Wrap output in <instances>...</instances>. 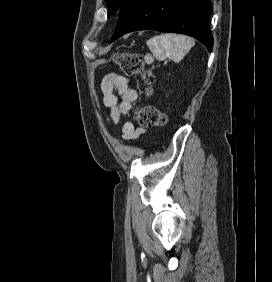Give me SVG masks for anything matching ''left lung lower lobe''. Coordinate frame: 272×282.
<instances>
[{"instance_id": "0a47b994", "label": "left lung lower lobe", "mask_w": 272, "mask_h": 282, "mask_svg": "<svg viewBox=\"0 0 272 282\" xmlns=\"http://www.w3.org/2000/svg\"><path fill=\"white\" fill-rule=\"evenodd\" d=\"M212 10L210 0H125L110 42L125 33L150 29L190 35L211 51L208 23Z\"/></svg>"}]
</instances>
